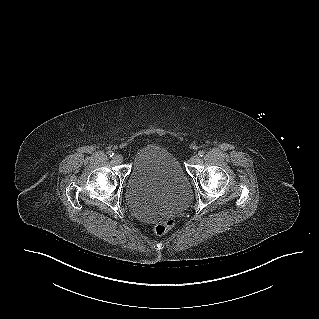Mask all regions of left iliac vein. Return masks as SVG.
I'll list each match as a JSON object with an SVG mask.
<instances>
[{
	"label": "left iliac vein",
	"instance_id": "1",
	"mask_svg": "<svg viewBox=\"0 0 319 319\" xmlns=\"http://www.w3.org/2000/svg\"><path fill=\"white\" fill-rule=\"evenodd\" d=\"M199 160H200V158H199L198 155H193V156L190 158L189 162H190L191 164H196V163L199 162Z\"/></svg>",
	"mask_w": 319,
	"mask_h": 319
}]
</instances>
